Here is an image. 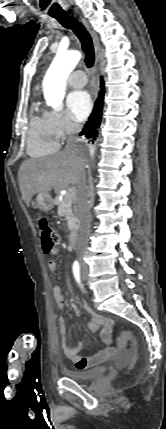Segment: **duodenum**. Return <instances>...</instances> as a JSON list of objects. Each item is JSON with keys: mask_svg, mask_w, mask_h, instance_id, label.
Returning <instances> with one entry per match:
<instances>
[{"mask_svg": "<svg viewBox=\"0 0 166 429\" xmlns=\"http://www.w3.org/2000/svg\"><path fill=\"white\" fill-rule=\"evenodd\" d=\"M78 234L77 232H73L69 236L68 244L71 248L75 247L77 243Z\"/></svg>", "mask_w": 166, "mask_h": 429, "instance_id": "410a0bca", "label": "duodenum"}]
</instances>
